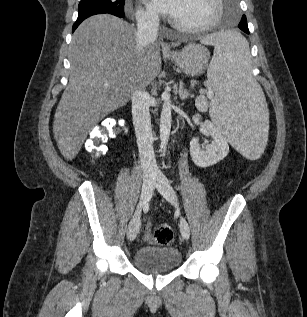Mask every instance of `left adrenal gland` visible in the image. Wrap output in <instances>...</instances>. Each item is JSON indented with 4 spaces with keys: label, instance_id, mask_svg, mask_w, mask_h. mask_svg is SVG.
I'll use <instances>...</instances> for the list:
<instances>
[{
    "label": "left adrenal gland",
    "instance_id": "1",
    "mask_svg": "<svg viewBox=\"0 0 307 317\" xmlns=\"http://www.w3.org/2000/svg\"><path fill=\"white\" fill-rule=\"evenodd\" d=\"M178 93L181 100H185L189 97L193 98V94H191L189 91L184 89V84L182 81L180 82Z\"/></svg>",
    "mask_w": 307,
    "mask_h": 317
}]
</instances>
